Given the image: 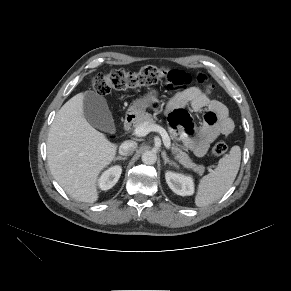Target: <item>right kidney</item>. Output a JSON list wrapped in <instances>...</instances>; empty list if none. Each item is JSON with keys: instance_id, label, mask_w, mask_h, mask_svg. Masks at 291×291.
<instances>
[{"instance_id": "obj_1", "label": "right kidney", "mask_w": 291, "mask_h": 291, "mask_svg": "<svg viewBox=\"0 0 291 291\" xmlns=\"http://www.w3.org/2000/svg\"><path fill=\"white\" fill-rule=\"evenodd\" d=\"M121 172V166H113L106 170L99 179L100 188L102 190L111 189L119 180Z\"/></svg>"}]
</instances>
